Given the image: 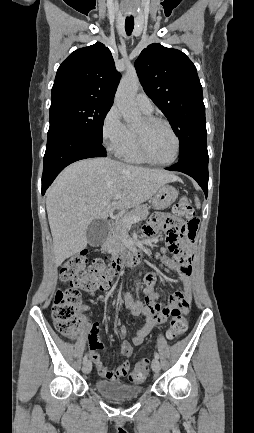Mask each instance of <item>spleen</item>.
Instances as JSON below:
<instances>
[{"mask_svg":"<svg viewBox=\"0 0 254 433\" xmlns=\"http://www.w3.org/2000/svg\"><path fill=\"white\" fill-rule=\"evenodd\" d=\"M195 205H196V207H197L198 209H199L200 206H201V204H200L199 199H198L197 196L195 197Z\"/></svg>","mask_w":254,"mask_h":433,"instance_id":"1","label":"spleen"}]
</instances>
